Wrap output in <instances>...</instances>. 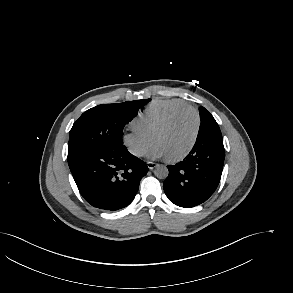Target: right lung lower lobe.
Listing matches in <instances>:
<instances>
[{"instance_id": "obj_1", "label": "right lung lower lobe", "mask_w": 293, "mask_h": 293, "mask_svg": "<svg viewBox=\"0 0 293 293\" xmlns=\"http://www.w3.org/2000/svg\"><path fill=\"white\" fill-rule=\"evenodd\" d=\"M68 164L84 199L108 211L128 206L148 172L146 164L123 144L88 152Z\"/></svg>"}]
</instances>
